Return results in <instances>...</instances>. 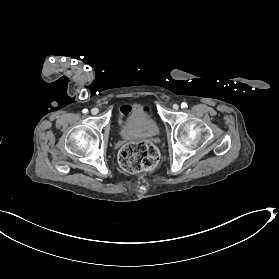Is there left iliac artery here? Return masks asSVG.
<instances>
[{
  "label": "left iliac artery",
  "instance_id": "obj_1",
  "mask_svg": "<svg viewBox=\"0 0 279 279\" xmlns=\"http://www.w3.org/2000/svg\"><path fill=\"white\" fill-rule=\"evenodd\" d=\"M181 107H182V108H186V107H187V103L183 102V103L181 104Z\"/></svg>",
  "mask_w": 279,
  "mask_h": 279
}]
</instances>
